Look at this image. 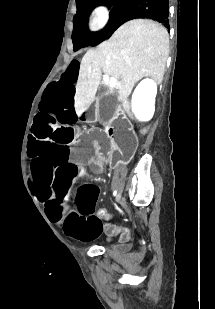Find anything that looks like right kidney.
<instances>
[{
	"mask_svg": "<svg viewBox=\"0 0 215 309\" xmlns=\"http://www.w3.org/2000/svg\"><path fill=\"white\" fill-rule=\"evenodd\" d=\"M157 84L152 78H144L132 94V110L139 120H150L155 110Z\"/></svg>",
	"mask_w": 215,
	"mask_h": 309,
	"instance_id": "right-kidney-1",
	"label": "right kidney"
}]
</instances>
